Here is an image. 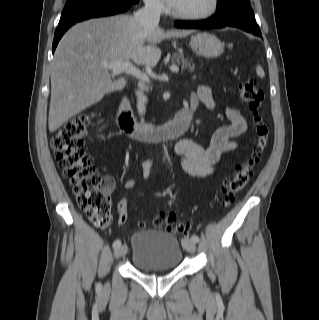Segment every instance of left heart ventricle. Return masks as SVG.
<instances>
[{
  "mask_svg": "<svg viewBox=\"0 0 319 320\" xmlns=\"http://www.w3.org/2000/svg\"><path fill=\"white\" fill-rule=\"evenodd\" d=\"M210 0H181L175 8L181 13H198L209 7Z\"/></svg>",
  "mask_w": 319,
  "mask_h": 320,
  "instance_id": "obj_1",
  "label": "left heart ventricle"
}]
</instances>
